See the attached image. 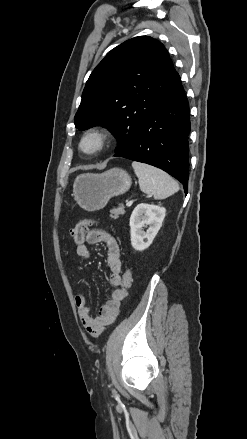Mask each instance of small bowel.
Here are the masks:
<instances>
[{
	"label": "small bowel",
	"instance_id": "c3829d8e",
	"mask_svg": "<svg viewBox=\"0 0 247 439\" xmlns=\"http://www.w3.org/2000/svg\"><path fill=\"white\" fill-rule=\"evenodd\" d=\"M104 243L106 245V262L110 271V284L116 288L110 291L108 301L100 308L97 315H92L88 301L83 294L75 297L78 315L85 330L93 337L100 336L107 325L114 322L120 311L122 300L127 292L121 288L122 262L120 247L117 240L108 232L101 229H90L85 235V241L77 246L76 253L81 258H89L91 255L89 245Z\"/></svg>",
	"mask_w": 247,
	"mask_h": 439
}]
</instances>
